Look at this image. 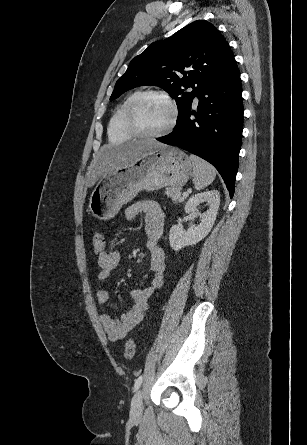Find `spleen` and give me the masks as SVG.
Returning a JSON list of instances; mask_svg holds the SVG:
<instances>
[{
    "mask_svg": "<svg viewBox=\"0 0 307 445\" xmlns=\"http://www.w3.org/2000/svg\"><path fill=\"white\" fill-rule=\"evenodd\" d=\"M190 158L193 164L194 186L196 190H201V188L211 184L217 174V170L212 164H209L203 158H199V156H195V154H190Z\"/></svg>",
    "mask_w": 307,
    "mask_h": 445,
    "instance_id": "obj_1",
    "label": "spleen"
}]
</instances>
